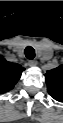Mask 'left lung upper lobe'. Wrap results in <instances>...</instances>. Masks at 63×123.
<instances>
[{"label":"left lung upper lobe","mask_w":63,"mask_h":123,"mask_svg":"<svg viewBox=\"0 0 63 123\" xmlns=\"http://www.w3.org/2000/svg\"><path fill=\"white\" fill-rule=\"evenodd\" d=\"M45 81L50 96L57 101H63V66L47 71Z\"/></svg>","instance_id":"obj_1"}]
</instances>
